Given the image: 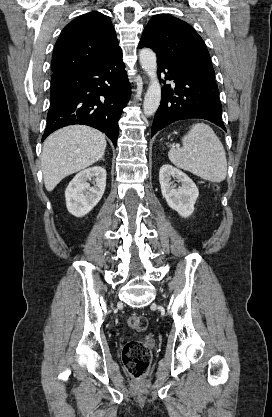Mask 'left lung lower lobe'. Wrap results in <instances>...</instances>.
Wrapping results in <instances>:
<instances>
[{
	"label": "left lung lower lobe",
	"instance_id": "obj_1",
	"mask_svg": "<svg viewBox=\"0 0 272 417\" xmlns=\"http://www.w3.org/2000/svg\"><path fill=\"white\" fill-rule=\"evenodd\" d=\"M157 63L158 75L164 72L165 79L173 80L175 87H163L162 101L155 114L151 137L175 121L191 118L209 120L226 131L215 81L179 65Z\"/></svg>",
	"mask_w": 272,
	"mask_h": 417
}]
</instances>
